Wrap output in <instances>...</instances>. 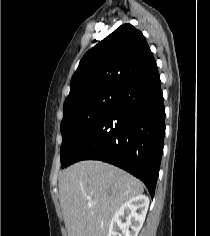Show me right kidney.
Segmentation results:
<instances>
[{"mask_svg": "<svg viewBox=\"0 0 210 236\" xmlns=\"http://www.w3.org/2000/svg\"><path fill=\"white\" fill-rule=\"evenodd\" d=\"M148 207L149 198L145 195H138L125 202L114 214L107 236H137L144 223ZM124 219H126L125 223Z\"/></svg>", "mask_w": 210, "mask_h": 236, "instance_id": "obj_1", "label": "right kidney"}]
</instances>
